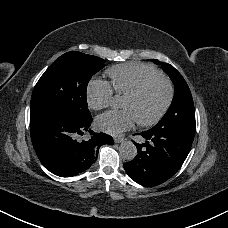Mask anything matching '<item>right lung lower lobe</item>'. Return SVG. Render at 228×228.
I'll list each match as a JSON object with an SVG mask.
<instances>
[{"label": "right lung lower lobe", "mask_w": 228, "mask_h": 228, "mask_svg": "<svg viewBox=\"0 0 228 228\" xmlns=\"http://www.w3.org/2000/svg\"><path fill=\"white\" fill-rule=\"evenodd\" d=\"M92 118L76 123L57 116L30 118V135L41 163L53 174L71 177L88 169L113 138L90 129ZM83 136V137H81Z\"/></svg>", "instance_id": "1"}]
</instances>
